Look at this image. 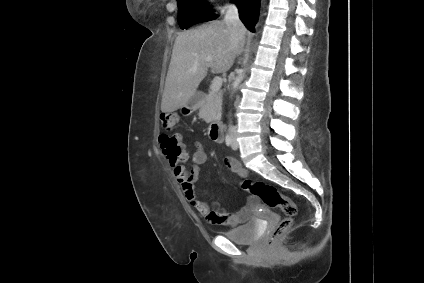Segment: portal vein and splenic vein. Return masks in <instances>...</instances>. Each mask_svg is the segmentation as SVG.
Masks as SVG:
<instances>
[{"mask_svg":"<svg viewBox=\"0 0 424 283\" xmlns=\"http://www.w3.org/2000/svg\"><path fill=\"white\" fill-rule=\"evenodd\" d=\"M221 86H222V78L219 76H216L213 78L212 84L210 86V90L212 92H217L220 90Z\"/></svg>","mask_w":424,"mask_h":283,"instance_id":"1","label":"portal vein and splenic vein"}]
</instances>
